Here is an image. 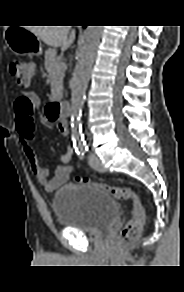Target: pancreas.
<instances>
[{"mask_svg":"<svg viewBox=\"0 0 184 292\" xmlns=\"http://www.w3.org/2000/svg\"><path fill=\"white\" fill-rule=\"evenodd\" d=\"M63 62L56 57L55 49H48L45 52V69L50 77L51 91L62 93L63 90V77L65 69H60L59 66Z\"/></svg>","mask_w":184,"mask_h":292,"instance_id":"cf45deb5","label":"pancreas"}]
</instances>
